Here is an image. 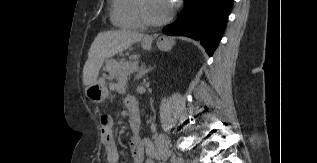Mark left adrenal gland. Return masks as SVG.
Returning a JSON list of instances; mask_svg holds the SVG:
<instances>
[{"mask_svg": "<svg viewBox=\"0 0 317 163\" xmlns=\"http://www.w3.org/2000/svg\"><path fill=\"white\" fill-rule=\"evenodd\" d=\"M152 69H153V67L146 68L145 63H143V64L141 65V67H140V69H139V71H138V73H137L135 79L138 80V79L142 78L145 74H147V73H148L150 70H152Z\"/></svg>", "mask_w": 317, "mask_h": 163, "instance_id": "left-adrenal-gland-1", "label": "left adrenal gland"}]
</instances>
